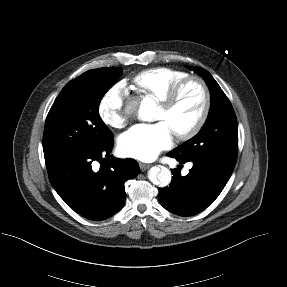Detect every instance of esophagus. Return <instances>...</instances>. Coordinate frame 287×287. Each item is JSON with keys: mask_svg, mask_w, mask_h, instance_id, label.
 Instances as JSON below:
<instances>
[{"mask_svg": "<svg viewBox=\"0 0 287 287\" xmlns=\"http://www.w3.org/2000/svg\"><path fill=\"white\" fill-rule=\"evenodd\" d=\"M139 166H140V169H141L142 171H145V170L148 169L151 165H150V164H146V163L139 162Z\"/></svg>", "mask_w": 287, "mask_h": 287, "instance_id": "obj_1", "label": "esophagus"}]
</instances>
